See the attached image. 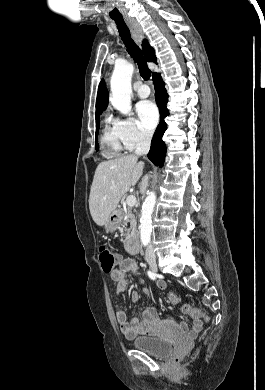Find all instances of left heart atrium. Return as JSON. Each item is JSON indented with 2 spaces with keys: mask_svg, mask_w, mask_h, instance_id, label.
<instances>
[{
  "mask_svg": "<svg viewBox=\"0 0 265 390\" xmlns=\"http://www.w3.org/2000/svg\"><path fill=\"white\" fill-rule=\"evenodd\" d=\"M136 111L142 127L152 130L158 122V111L150 101H142L137 104Z\"/></svg>",
  "mask_w": 265,
  "mask_h": 390,
  "instance_id": "1",
  "label": "left heart atrium"
}]
</instances>
